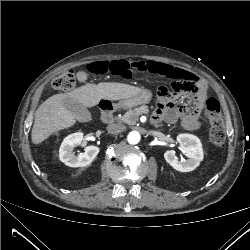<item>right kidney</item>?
<instances>
[{
    "label": "right kidney",
    "mask_w": 250,
    "mask_h": 250,
    "mask_svg": "<svg viewBox=\"0 0 250 250\" xmlns=\"http://www.w3.org/2000/svg\"><path fill=\"white\" fill-rule=\"evenodd\" d=\"M83 133H73L67 136L59 149L60 160L69 167H84L89 165L99 153V148L97 146H87L83 153L78 155L74 154V149L82 144Z\"/></svg>",
    "instance_id": "ca27d5eb"
}]
</instances>
